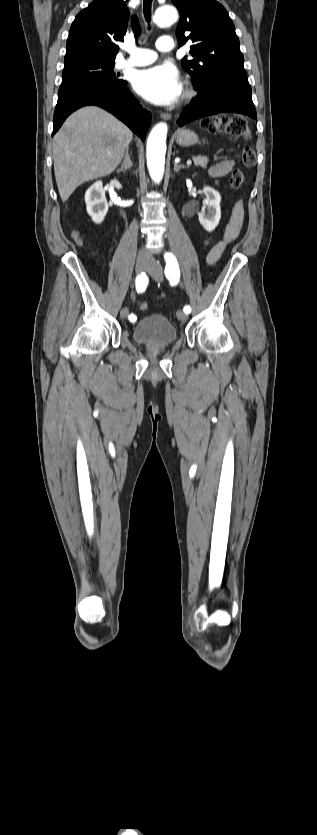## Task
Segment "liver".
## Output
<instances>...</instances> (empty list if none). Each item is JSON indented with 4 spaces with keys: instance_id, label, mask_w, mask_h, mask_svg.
Instances as JSON below:
<instances>
[{
    "instance_id": "liver-1",
    "label": "liver",
    "mask_w": 317,
    "mask_h": 835,
    "mask_svg": "<svg viewBox=\"0 0 317 835\" xmlns=\"http://www.w3.org/2000/svg\"><path fill=\"white\" fill-rule=\"evenodd\" d=\"M132 139L133 133L125 124L99 107H83L71 114L52 143L62 201H67L82 183L111 174Z\"/></svg>"
}]
</instances>
